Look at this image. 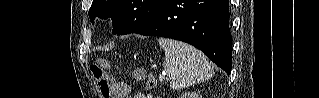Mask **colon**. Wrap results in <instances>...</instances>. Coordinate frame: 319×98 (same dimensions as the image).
<instances>
[{
  "label": "colon",
  "mask_w": 319,
  "mask_h": 98,
  "mask_svg": "<svg viewBox=\"0 0 319 98\" xmlns=\"http://www.w3.org/2000/svg\"><path fill=\"white\" fill-rule=\"evenodd\" d=\"M104 65L107 66V63L105 62ZM90 69L103 97L110 98L112 96L111 80L107 76L104 68L100 65H92ZM133 77L135 79H143L145 78V71L142 69L136 70L133 73ZM156 84L157 82L155 77L149 75L146 81V88L154 89L156 87Z\"/></svg>",
  "instance_id": "colon-1"
}]
</instances>
